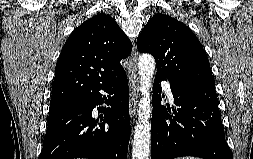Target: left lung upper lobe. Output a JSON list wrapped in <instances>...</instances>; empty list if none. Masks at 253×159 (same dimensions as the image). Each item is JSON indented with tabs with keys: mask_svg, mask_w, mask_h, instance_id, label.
Listing matches in <instances>:
<instances>
[{
	"mask_svg": "<svg viewBox=\"0 0 253 159\" xmlns=\"http://www.w3.org/2000/svg\"><path fill=\"white\" fill-rule=\"evenodd\" d=\"M140 52L156 60V76L171 83L215 89L207 55L185 24L164 14L152 17L137 38Z\"/></svg>",
	"mask_w": 253,
	"mask_h": 159,
	"instance_id": "obj_1",
	"label": "left lung upper lobe"
}]
</instances>
